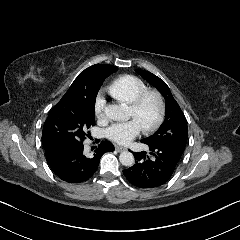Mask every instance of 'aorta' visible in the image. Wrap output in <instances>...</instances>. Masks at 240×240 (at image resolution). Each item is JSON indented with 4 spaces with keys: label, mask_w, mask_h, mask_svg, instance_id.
Here are the masks:
<instances>
[{
    "label": "aorta",
    "mask_w": 240,
    "mask_h": 240,
    "mask_svg": "<svg viewBox=\"0 0 240 240\" xmlns=\"http://www.w3.org/2000/svg\"><path fill=\"white\" fill-rule=\"evenodd\" d=\"M104 112L106 116L114 121H119L124 116V111L121 106L112 104L105 107ZM120 163L124 166H133L135 160L131 152L123 151L119 156Z\"/></svg>",
    "instance_id": "aorta-1"
}]
</instances>
